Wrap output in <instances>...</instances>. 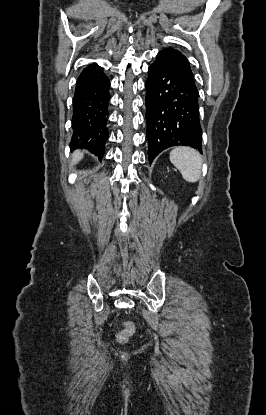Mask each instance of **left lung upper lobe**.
<instances>
[{
	"label": "left lung upper lobe",
	"instance_id": "5c2ea615",
	"mask_svg": "<svg viewBox=\"0 0 266 415\" xmlns=\"http://www.w3.org/2000/svg\"><path fill=\"white\" fill-rule=\"evenodd\" d=\"M160 53L164 54L168 59H170L174 64H176L184 72L191 84L195 86V81L190 67V63L180 51L173 48H166L164 50H161Z\"/></svg>",
	"mask_w": 266,
	"mask_h": 415
}]
</instances>
